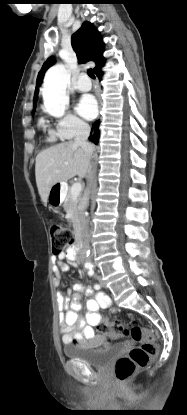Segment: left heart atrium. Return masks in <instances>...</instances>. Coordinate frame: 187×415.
Returning <instances> with one entry per match:
<instances>
[{
    "label": "left heart atrium",
    "instance_id": "39dd6f15",
    "mask_svg": "<svg viewBox=\"0 0 187 415\" xmlns=\"http://www.w3.org/2000/svg\"><path fill=\"white\" fill-rule=\"evenodd\" d=\"M77 112L85 119H93L97 114V103L92 95H84L78 102Z\"/></svg>",
    "mask_w": 187,
    "mask_h": 415
}]
</instances>
